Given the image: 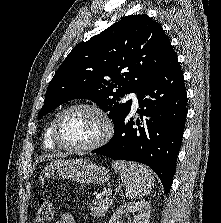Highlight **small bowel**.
Segmentation results:
<instances>
[{
	"label": "small bowel",
	"instance_id": "c3829d8e",
	"mask_svg": "<svg viewBox=\"0 0 221 223\" xmlns=\"http://www.w3.org/2000/svg\"><path fill=\"white\" fill-rule=\"evenodd\" d=\"M55 223H76L74 216L70 212H63Z\"/></svg>",
	"mask_w": 221,
	"mask_h": 223
}]
</instances>
